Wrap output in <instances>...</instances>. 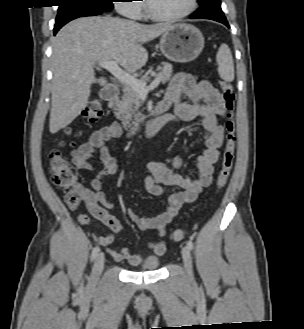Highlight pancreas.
Segmentation results:
<instances>
[{
	"mask_svg": "<svg viewBox=\"0 0 304 329\" xmlns=\"http://www.w3.org/2000/svg\"><path fill=\"white\" fill-rule=\"evenodd\" d=\"M160 72L157 78H160L162 83H166L172 76V65L168 62H163L162 67H158ZM148 71L139 80L143 83H147L150 79ZM123 95L121 99H118L114 103L115 116L122 122L124 128L132 127V124H136L143 120L142 114L139 112L140 107V95L134 91V89L128 85L123 86ZM136 123H135V122Z\"/></svg>",
	"mask_w": 304,
	"mask_h": 329,
	"instance_id": "1",
	"label": "pancreas"
}]
</instances>
